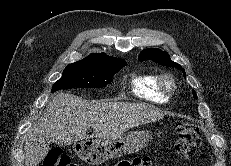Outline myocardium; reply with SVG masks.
I'll use <instances>...</instances> for the list:
<instances>
[{"mask_svg": "<svg viewBox=\"0 0 231 166\" xmlns=\"http://www.w3.org/2000/svg\"><path fill=\"white\" fill-rule=\"evenodd\" d=\"M157 86L159 91L166 97L172 96L177 88L174 77L168 73L158 76Z\"/></svg>", "mask_w": 231, "mask_h": 166, "instance_id": "f54148a6", "label": "myocardium"}]
</instances>
